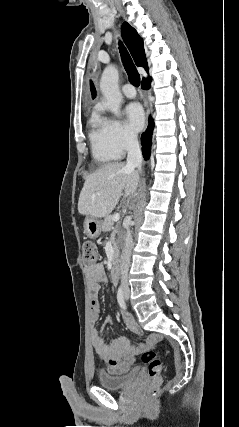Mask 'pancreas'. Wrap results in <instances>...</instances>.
I'll use <instances>...</instances> for the list:
<instances>
[{"label":"pancreas","instance_id":"cf45deb5","mask_svg":"<svg viewBox=\"0 0 239 427\" xmlns=\"http://www.w3.org/2000/svg\"><path fill=\"white\" fill-rule=\"evenodd\" d=\"M113 224H114V221L112 220V216L105 217V219H104V221L102 222V225H101L102 231L106 232V231L111 230L112 227H113ZM116 233H117V230H114V232H113V238H112L113 240H114V236H115ZM117 253H118V249H117V247L115 245L114 257H117Z\"/></svg>","mask_w":239,"mask_h":427}]
</instances>
